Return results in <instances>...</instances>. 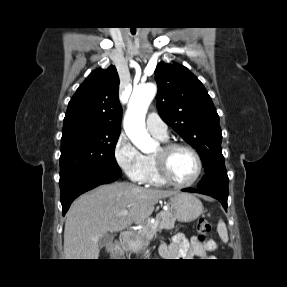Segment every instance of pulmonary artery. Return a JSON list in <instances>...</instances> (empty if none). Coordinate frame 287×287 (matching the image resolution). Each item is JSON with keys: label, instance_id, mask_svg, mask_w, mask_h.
Wrapping results in <instances>:
<instances>
[{"label": "pulmonary artery", "instance_id": "obj_1", "mask_svg": "<svg viewBox=\"0 0 287 287\" xmlns=\"http://www.w3.org/2000/svg\"><path fill=\"white\" fill-rule=\"evenodd\" d=\"M148 131L158 139L165 140L168 137L167 125L157 113H149L146 118Z\"/></svg>", "mask_w": 287, "mask_h": 287}]
</instances>
